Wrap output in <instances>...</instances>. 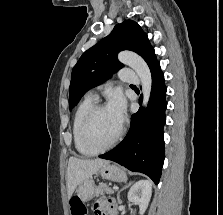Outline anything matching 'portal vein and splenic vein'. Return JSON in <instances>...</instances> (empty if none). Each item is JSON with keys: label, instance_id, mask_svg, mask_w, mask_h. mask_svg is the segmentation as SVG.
I'll return each instance as SVG.
<instances>
[{"label": "portal vein and splenic vein", "instance_id": "18ae733b", "mask_svg": "<svg viewBox=\"0 0 223 215\" xmlns=\"http://www.w3.org/2000/svg\"><path fill=\"white\" fill-rule=\"evenodd\" d=\"M111 188L117 190V189H121V186H117V185H116V186H112Z\"/></svg>", "mask_w": 223, "mask_h": 215}]
</instances>
